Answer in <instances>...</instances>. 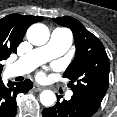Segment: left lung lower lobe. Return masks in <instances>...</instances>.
<instances>
[{
    "instance_id": "obj_1",
    "label": "left lung lower lobe",
    "mask_w": 117,
    "mask_h": 117,
    "mask_svg": "<svg viewBox=\"0 0 117 117\" xmlns=\"http://www.w3.org/2000/svg\"><path fill=\"white\" fill-rule=\"evenodd\" d=\"M55 106L43 110V117H91L98 108L85 98L73 94L69 101L60 102V96Z\"/></svg>"
}]
</instances>
